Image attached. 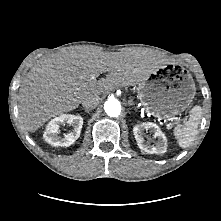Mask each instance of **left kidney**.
<instances>
[{
    "label": "left kidney",
    "instance_id": "5707ae66",
    "mask_svg": "<svg viewBox=\"0 0 221 221\" xmlns=\"http://www.w3.org/2000/svg\"><path fill=\"white\" fill-rule=\"evenodd\" d=\"M150 131L153 133L154 138L158 139V142L155 146H151L149 143H145L144 141V131ZM134 136L137 141L139 148L142 151L147 153H156L161 154L167 151V139L165 134L161 131V129L154 123L145 122L139 125H135L133 128Z\"/></svg>",
    "mask_w": 221,
    "mask_h": 221
}]
</instances>
